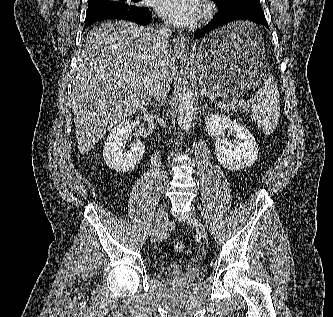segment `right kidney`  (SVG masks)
<instances>
[{
	"label": "right kidney",
	"mask_w": 333,
	"mask_h": 317,
	"mask_svg": "<svg viewBox=\"0 0 333 317\" xmlns=\"http://www.w3.org/2000/svg\"><path fill=\"white\" fill-rule=\"evenodd\" d=\"M129 120L118 123L108 134L104 144L103 157L106 165L118 172L132 171L141 161L145 147L141 141L131 146L129 151H124V140L132 131Z\"/></svg>",
	"instance_id": "obj_1"
}]
</instances>
